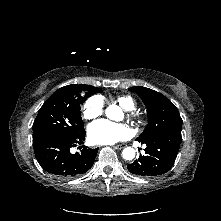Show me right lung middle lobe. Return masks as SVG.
I'll return each instance as SVG.
<instances>
[{
    "mask_svg": "<svg viewBox=\"0 0 221 221\" xmlns=\"http://www.w3.org/2000/svg\"><path fill=\"white\" fill-rule=\"evenodd\" d=\"M101 91L90 85L72 84L54 92L33 123V145L52 137L75 138L84 133L81 105L90 95Z\"/></svg>",
    "mask_w": 221,
    "mask_h": 221,
    "instance_id": "obj_1",
    "label": "right lung middle lobe"
}]
</instances>
